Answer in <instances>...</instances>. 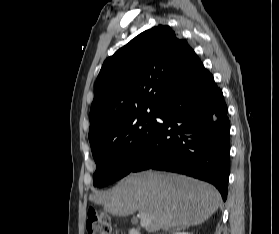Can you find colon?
<instances>
[{
  "mask_svg": "<svg viewBox=\"0 0 279 234\" xmlns=\"http://www.w3.org/2000/svg\"><path fill=\"white\" fill-rule=\"evenodd\" d=\"M87 234H110V218L106 213L91 210L86 223Z\"/></svg>",
  "mask_w": 279,
  "mask_h": 234,
  "instance_id": "obj_1",
  "label": "colon"
}]
</instances>
